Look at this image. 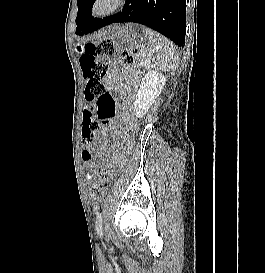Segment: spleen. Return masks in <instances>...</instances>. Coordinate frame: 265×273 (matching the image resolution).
I'll list each match as a JSON object with an SVG mask.
<instances>
[{"label":"spleen","instance_id":"1","mask_svg":"<svg viewBox=\"0 0 265 273\" xmlns=\"http://www.w3.org/2000/svg\"><path fill=\"white\" fill-rule=\"evenodd\" d=\"M149 43L150 53H154L156 57V68L166 71L174 70L178 65V53L175 45L161 34L149 29L143 28Z\"/></svg>","mask_w":265,"mask_h":273}]
</instances>
